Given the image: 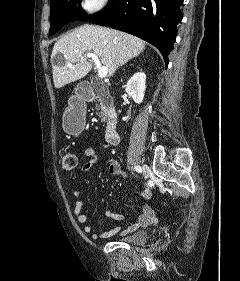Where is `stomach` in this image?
<instances>
[{
  "instance_id": "stomach-1",
  "label": "stomach",
  "mask_w": 240,
  "mask_h": 281,
  "mask_svg": "<svg viewBox=\"0 0 240 281\" xmlns=\"http://www.w3.org/2000/svg\"><path fill=\"white\" fill-rule=\"evenodd\" d=\"M85 105L72 99L62 117V126L65 132L71 135L79 134L85 125Z\"/></svg>"
}]
</instances>
